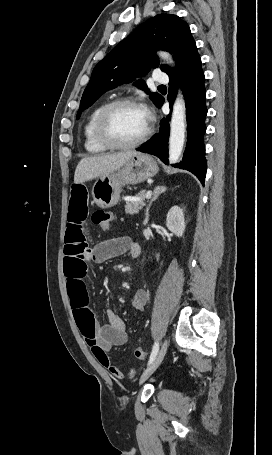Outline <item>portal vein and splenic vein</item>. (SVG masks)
<instances>
[{"label": "portal vein and splenic vein", "instance_id": "18ae733b", "mask_svg": "<svg viewBox=\"0 0 272 455\" xmlns=\"http://www.w3.org/2000/svg\"><path fill=\"white\" fill-rule=\"evenodd\" d=\"M151 195H152V191H150V190L147 191V193H146V199H149V198L151 197Z\"/></svg>", "mask_w": 272, "mask_h": 455}]
</instances>
